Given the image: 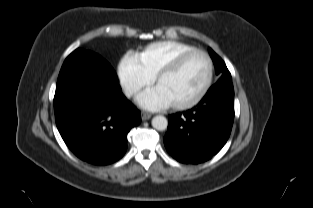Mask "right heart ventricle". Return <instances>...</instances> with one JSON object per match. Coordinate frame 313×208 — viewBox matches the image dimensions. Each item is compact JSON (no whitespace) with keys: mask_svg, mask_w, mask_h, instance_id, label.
I'll use <instances>...</instances> for the list:
<instances>
[{"mask_svg":"<svg viewBox=\"0 0 313 208\" xmlns=\"http://www.w3.org/2000/svg\"><path fill=\"white\" fill-rule=\"evenodd\" d=\"M195 49V46L185 42L158 41L147 45L135 58L144 70L154 76L179 55Z\"/></svg>","mask_w":313,"mask_h":208,"instance_id":"e07e8e85","label":"right heart ventricle"}]
</instances>
